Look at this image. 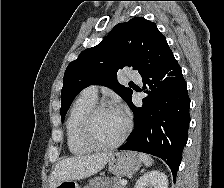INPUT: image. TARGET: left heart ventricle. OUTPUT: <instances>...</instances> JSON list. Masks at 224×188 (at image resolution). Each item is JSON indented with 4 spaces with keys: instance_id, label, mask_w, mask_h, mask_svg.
<instances>
[{
    "instance_id": "1",
    "label": "left heart ventricle",
    "mask_w": 224,
    "mask_h": 188,
    "mask_svg": "<svg viewBox=\"0 0 224 188\" xmlns=\"http://www.w3.org/2000/svg\"><path fill=\"white\" fill-rule=\"evenodd\" d=\"M125 125L126 119L118 110H107L96 117L93 132L100 142L110 143L121 135Z\"/></svg>"
}]
</instances>
